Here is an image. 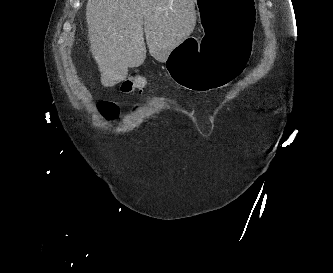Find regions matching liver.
<instances>
[{"label": "liver", "mask_w": 333, "mask_h": 273, "mask_svg": "<svg viewBox=\"0 0 333 273\" xmlns=\"http://www.w3.org/2000/svg\"><path fill=\"white\" fill-rule=\"evenodd\" d=\"M196 0H88L86 21L91 53L104 87L125 80L128 68L150 55L166 62L196 23Z\"/></svg>", "instance_id": "1"}]
</instances>
